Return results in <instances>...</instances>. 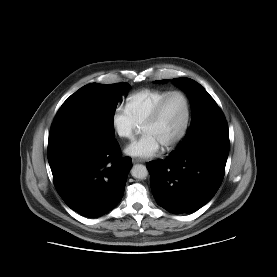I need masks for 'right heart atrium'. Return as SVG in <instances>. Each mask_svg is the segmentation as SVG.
I'll list each match as a JSON object with an SVG mask.
<instances>
[{
  "instance_id": "1",
  "label": "right heart atrium",
  "mask_w": 277,
  "mask_h": 277,
  "mask_svg": "<svg viewBox=\"0 0 277 277\" xmlns=\"http://www.w3.org/2000/svg\"><path fill=\"white\" fill-rule=\"evenodd\" d=\"M111 123L116 135L123 139H132L140 128L126 107L122 106L114 110Z\"/></svg>"
}]
</instances>
